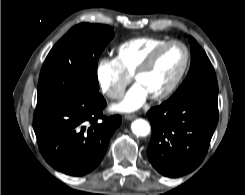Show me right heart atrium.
I'll return each instance as SVG.
<instances>
[{
  "instance_id": "1",
  "label": "right heart atrium",
  "mask_w": 245,
  "mask_h": 195,
  "mask_svg": "<svg viewBox=\"0 0 245 195\" xmlns=\"http://www.w3.org/2000/svg\"><path fill=\"white\" fill-rule=\"evenodd\" d=\"M95 76L101 92L110 99H120L130 76L127 75L115 58H100L95 67Z\"/></svg>"
}]
</instances>
